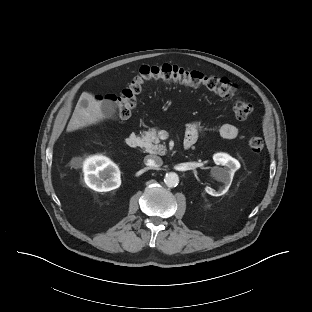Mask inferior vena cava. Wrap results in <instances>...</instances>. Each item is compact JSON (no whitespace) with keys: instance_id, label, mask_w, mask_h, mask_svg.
<instances>
[{"instance_id":"inferior-vena-cava-1","label":"inferior vena cava","mask_w":312,"mask_h":312,"mask_svg":"<svg viewBox=\"0 0 312 312\" xmlns=\"http://www.w3.org/2000/svg\"><path fill=\"white\" fill-rule=\"evenodd\" d=\"M145 163H146V165H148L152 168H158V167L162 166L163 160L161 159V157L156 156V155H147L145 157Z\"/></svg>"}]
</instances>
